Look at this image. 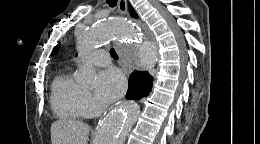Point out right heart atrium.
<instances>
[{"instance_id":"obj_1","label":"right heart atrium","mask_w":260,"mask_h":144,"mask_svg":"<svg viewBox=\"0 0 260 144\" xmlns=\"http://www.w3.org/2000/svg\"><path fill=\"white\" fill-rule=\"evenodd\" d=\"M82 105L85 115L90 114L95 108V101L92 95L87 91H84L82 94Z\"/></svg>"}]
</instances>
